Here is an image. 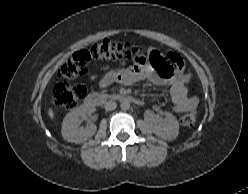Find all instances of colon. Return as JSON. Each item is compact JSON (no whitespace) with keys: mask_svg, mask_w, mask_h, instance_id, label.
Returning <instances> with one entry per match:
<instances>
[{"mask_svg":"<svg viewBox=\"0 0 248 194\" xmlns=\"http://www.w3.org/2000/svg\"><path fill=\"white\" fill-rule=\"evenodd\" d=\"M145 55H148L156 65L162 63L160 52L153 47L135 43H119L107 39L94 44L90 49L76 51L63 62L58 70L59 82L51 92L52 103L68 109L79 104L85 97L87 88L83 84L73 85L71 80L87 73L90 60L124 61ZM197 117V112L190 110L182 116L181 120L184 125L193 126Z\"/></svg>","mask_w":248,"mask_h":194,"instance_id":"obj_1","label":"colon"}]
</instances>
